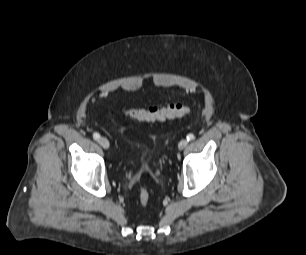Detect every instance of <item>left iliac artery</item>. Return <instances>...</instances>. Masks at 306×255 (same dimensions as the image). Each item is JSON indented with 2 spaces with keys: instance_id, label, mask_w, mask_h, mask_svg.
<instances>
[{
  "instance_id": "1",
  "label": "left iliac artery",
  "mask_w": 306,
  "mask_h": 255,
  "mask_svg": "<svg viewBox=\"0 0 306 255\" xmlns=\"http://www.w3.org/2000/svg\"><path fill=\"white\" fill-rule=\"evenodd\" d=\"M186 138H187L188 141H191L195 138V136H194V134L190 133V134L187 135Z\"/></svg>"
}]
</instances>
